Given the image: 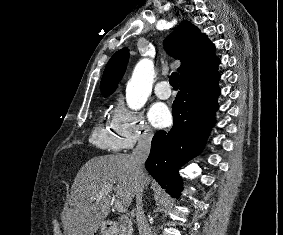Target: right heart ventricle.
I'll use <instances>...</instances> for the list:
<instances>
[{
  "mask_svg": "<svg viewBox=\"0 0 283 235\" xmlns=\"http://www.w3.org/2000/svg\"><path fill=\"white\" fill-rule=\"evenodd\" d=\"M91 141L97 147L111 152H117L120 149L119 137L112 123L100 122L92 132Z\"/></svg>",
  "mask_w": 283,
  "mask_h": 235,
  "instance_id": "obj_1",
  "label": "right heart ventricle"
}]
</instances>
